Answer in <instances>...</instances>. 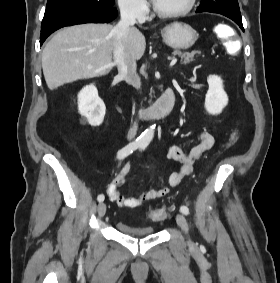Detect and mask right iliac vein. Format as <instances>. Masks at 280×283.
I'll list each match as a JSON object with an SVG mask.
<instances>
[{"mask_svg": "<svg viewBox=\"0 0 280 283\" xmlns=\"http://www.w3.org/2000/svg\"><path fill=\"white\" fill-rule=\"evenodd\" d=\"M97 210H98V215L100 217H103L105 215V213H106V205H105V203H103V202L99 203Z\"/></svg>", "mask_w": 280, "mask_h": 283, "instance_id": "obj_1", "label": "right iliac vein"}]
</instances>
